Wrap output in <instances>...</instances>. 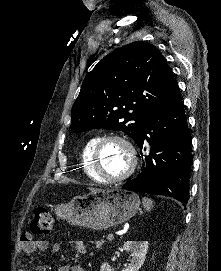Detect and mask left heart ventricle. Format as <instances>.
Returning a JSON list of instances; mask_svg holds the SVG:
<instances>
[{"mask_svg":"<svg viewBox=\"0 0 221 271\" xmlns=\"http://www.w3.org/2000/svg\"><path fill=\"white\" fill-rule=\"evenodd\" d=\"M173 87V86H172ZM173 93V92H172ZM101 141H111L110 144H103L100 149V158L97 163L103 166L104 172H108L109 177H121L123 169H127V161H124V156H128L123 152L118 141L120 139H104Z\"/></svg>","mask_w":221,"mask_h":271,"instance_id":"left-heart-ventricle-1","label":"left heart ventricle"}]
</instances>
